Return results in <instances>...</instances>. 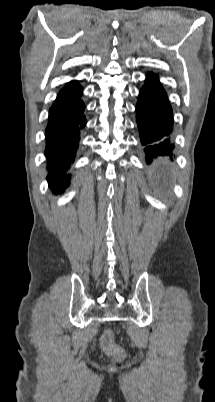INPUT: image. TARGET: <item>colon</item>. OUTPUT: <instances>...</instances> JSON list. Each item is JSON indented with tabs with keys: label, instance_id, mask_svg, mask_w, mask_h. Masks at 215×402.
<instances>
[{
	"label": "colon",
	"instance_id": "colon-1",
	"mask_svg": "<svg viewBox=\"0 0 215 402\" xmlns=\"http://www.w3.org/2000/svg\"><path fill=\"white\" fill-rule=\"evenodd\" d=\"M100 344L102 349L112 357L121 359L124 357L123 349L115 343L114 334L111 330H106L101 335Z\"/></svg>",
	"mask_w": 215,
	"mask_h": 402
}]
</instances>
